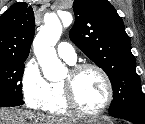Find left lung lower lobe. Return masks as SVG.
<instances>
[{"label": "left lung lower lobe", "instance_id": "left-lung-lower-lobe-1", "mask_svg": "<svg viewBox=\"0 0 145 124\" xmlns=\"http://www.w3.org/2000/svg\"><path fill=\"white\" fill-rule=\"evenodd\" d=\"M112 117L125 119L127 121H130L134 124H145V118L134 116V115H127V114H117V115H111Z\"/></svg>", "mask_w": 145, "mask_h": 124}]
</instances>
